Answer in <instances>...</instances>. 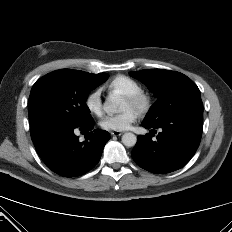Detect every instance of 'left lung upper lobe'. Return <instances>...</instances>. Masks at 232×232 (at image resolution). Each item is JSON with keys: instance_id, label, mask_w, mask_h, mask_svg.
I'll return each instance as SVG.
<instances>
[{"instance_id": "left-lung-upper-lobe-1", "label": "left lung upper lobe", "mask_w": 232, "mask_h": 232, "mask_svg": "<svg viewBox=\"0 0 232 232\" xmlns=\"http://www.w3.org/2000/svg\"><path fill=\"white\" fill-rule=\"evenodd\" d=\"M129 74L142 81L157 97L144 121L158 124L176 113L202 108L199 88L182 73L146 69Z\"/></svg>"}]
</instances>
